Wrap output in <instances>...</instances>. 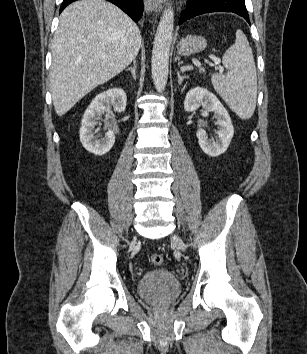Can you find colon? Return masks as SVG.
Here are the masks:
<instances>
[{"mask_svg":"<svg viewBox=\"0 0 307 354\" xmlns=\"http://www.w3.org/2000/svg\"><path fill=\"white\" fill-rule=\"evenodd\" d=\"M151 262L156 266H160L163 264L164 258L161 254L155 253L151 256Z\"/></svg>","mask_w":307,"mask_h":354,"instance_id":"1","label":"colon"}]
</instances>
